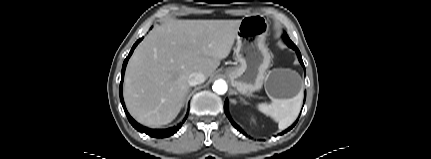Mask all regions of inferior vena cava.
I'll use <instances>...</instances> for the list:
<instances>
[{
  "instance_id": "602c4592",
  "label": "inferior vena cava",
  "mask_w": 431,
  "mask_h": 159,
  "mask_svg": "<svg viewBox=\"0 0 431 159\" xmlns=\"http://www.w3.org/2000/svg\"><path fill=\"white\" fill-rule=\"evenodd\" d=\"M205 75L201 72H193L189 75L188 78V84L190 86H196L198 84H201L205 81Z\"/></svg>"
}]
</instances>
